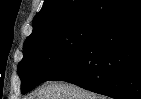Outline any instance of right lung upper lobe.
Masks as SVG:
<instances>
[{
	"instance_id": "cb5924a9",
	"label": "right lung upper lobe",
	"mask_w": 141,
	"mask_h": 99,
	"mask_svg": "<svg viewBox=\"0 0 141 99\" xmlns=\"http://www.w3.org/2000/svg\"><path fill=\"white\" fill-rule=\"evenodd\" d=\"M135 0H45L26 41L83 21H101Z\"/></svg>"
}]
</instances>
